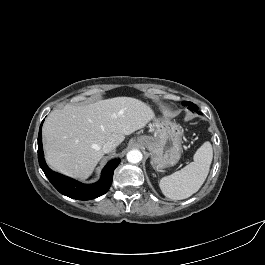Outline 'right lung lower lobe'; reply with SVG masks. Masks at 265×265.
<instances>
[{
	"label": "right lung lower lobe",
	"mask_w": 265,
	"mask_h": 265,
	"mask_svg": "<svg viewBox=\"0 0 265 265\" xmlns=\"http://www.w3.org/2000/svg\"><path fill=\"white\" fill-rule=\"evenodd\" d=\"M42 124L38 135V160L39 165L48 180L53 186L63 195L78 200H91L105 194L111 186L113 173L115 168L120 163V159H113L107 163L102 170L101 179L93 184L85 185L71 178L58 174L52 171L44 160L42 148Z\"/></svg>",
	"instance_id": "98d812e1"
}]
</instances>
